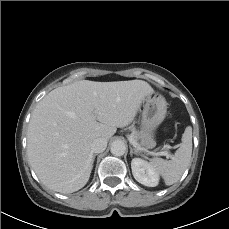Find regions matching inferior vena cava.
Here are the masks:
<instances>
[{
  "mask_svg": "<svg viewBox=\"0 0 229 229\" xmlns=\"http://www.w3.org/2000/svg\"><path fill=\"white\" fill-rule=\"evenodd\" d=\"M107 147V140L105 138H96L91 143V151L93 153H101Z\"/></svg>",
  "mask_w": 229,
  "mask_h": 229,
  "instance_id": "602c4592",
  "label": "inferior vena cava"
}]
</instances>
